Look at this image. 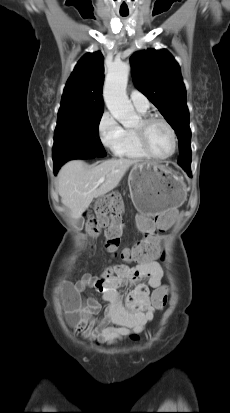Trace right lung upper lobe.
<instances>
[{"label": "right lung upper lobe", "instance_id": "obj_1", "mask_svg": "<svg viewBox=\"0 0 230 413\" xmlns=\"http://www.w3.org/2000/svg\"><path fill=\"white\" fill-rule=\"evenodd\" d=\"M103 55L87 53L77 63L62 95L58 118H86L103 114Z\"/></svg>", "mask_w": 230, "mask_h": 413}]
</instances>
